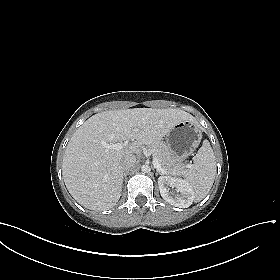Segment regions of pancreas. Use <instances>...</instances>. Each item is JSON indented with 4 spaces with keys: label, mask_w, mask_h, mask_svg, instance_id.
<instances>
[{
    "label": "pancreas",
    "mask_w": 280,
    "mask_h": 280,
    "mask_svg": "<svg viewBox=\"0 0 280 280\" xmlns=\"http://www.w3.org/2000/svg\"><path fill=\"white\" fill-rule=\"evenodd\" d=\"M148 148L153 151V155L167 174L182 175L185 173L186 165L178 161L165 143L159 141L148 145Z\"/></svg>",
    "instance_id": "1"
}]
</instances>
